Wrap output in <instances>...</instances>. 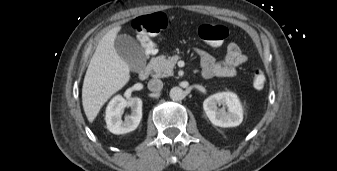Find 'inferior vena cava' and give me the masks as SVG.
Segmentation results:
<instances>
[{
    "label": "inferior vena cava",
    "instance_id": "1",
    "mask_svg": "<svg viewBox=\"0 0 337 171\" xmlns=\"http://www.w3.org/2000/svg\"><path fill=\"white\" fill-rule=\"evenodd\" d=\"M163 88V82L160 79H151L148 82V89L152 92H159Z\"/></svg>",
    "mask_w": 337,
    "mask_h": 171
}]
</instances>
